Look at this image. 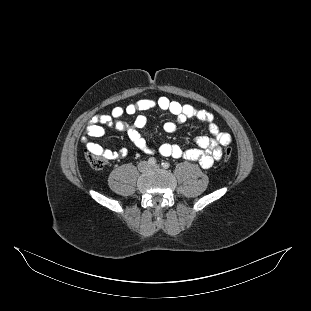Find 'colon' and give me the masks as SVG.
Wrapping results in <instances>:
<instances>
[{
	"label": "colon",
	"instance_id": "colon-1",
	"mask_svg": "<svg viewBox=\"0 0 311 311\" xmlns=\"http://www.w3.org/2000/svg\"><path fill=\"white\" fill-rule=\"evenodd\" d=\"M231 156H232V148L226 147L223 151V160L228 161L231 158ZM85 157L89 165L96 170L103 168L107 162V159L103 154L90 150L86 151Z\"/></svg>",
	"mask_w": 311,
	"mask_h": 311
}]
</instances>
